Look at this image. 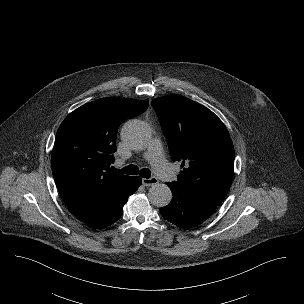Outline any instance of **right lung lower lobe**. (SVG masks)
Masks as SVG:
<instances>
[{"mask_svg": "<svg viewBox=\"0 0 304 304\" xmlns=\"http://www.w3.org/2000/svg\"><path fill=\"white\" fill-rule=\"evenodd\" d=\"M141 183L142 179L139 176L124 181L95 213L83 219L84 222L95 228L112 225L121 217L123 206Z\"/></svg>", "mask_w": 304, "mask_h": 304, "instance_id": "obj_1", "label": "right lung lower lobe"}]
</instances>
